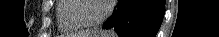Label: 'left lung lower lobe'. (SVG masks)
Listing matches in <instances>:
<instances>
[{
  "label": "left lung lower lobe",
  "instance_id": "1",
  "mask_svg": "<svg viewBox=\"0 0 219 37\" xmlns=\"http://www.w3.org/2000/svg\"><path fill=\"white\" fill-rule=\"evenodd\" d=\"M165 0H119L103 26L119 37H155L163 20Z\"/></svg>",
  "mask_w": 219,
  "mask_h": 37
}]
</instances>
